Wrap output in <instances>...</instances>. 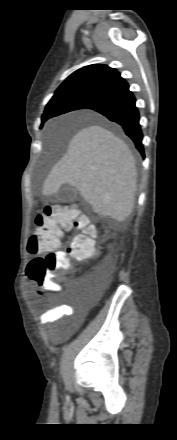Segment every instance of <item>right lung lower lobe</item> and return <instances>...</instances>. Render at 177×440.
<instances>
[{"label": "right lung lower lobe", "mask_w": 177, "mask_h": 440, "mask_svg": "<svg viewBox=\"0 0 177 440\" xmlns=\"http://www.w3.org/2000/svg\"><path fill=\"white\" fill-rule=\"evenodd\" d=\"M135 101L136 99L132 92L129 91L128 86L125 89L91 102L85 109L94 110L110 121L121 125L125 134L131 138L138 151L144 157L143 134L139 124L140 116Z\"/></svg>", "instance_id": "right-lung-lower-lobe-1"}]
</instances>
